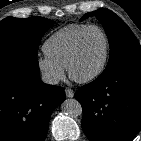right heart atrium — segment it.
<instances>
[{"label": "right heart atrium", "mask_w": 141, "mask_h": 141, "mask_svg": "<svg viewBox=\"0 0 141 141\" xmlns=\"http://www.w3.org/2000/svg\"><path fill=\"white\" fill-rule=\"evenodd\" d=\"M37 66L44 80L49 84H57L64 78L65 67L46 55L38 58Z\"/></svg>", "instance_id": "obj_1"}]
</instances>
